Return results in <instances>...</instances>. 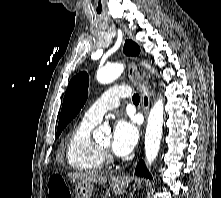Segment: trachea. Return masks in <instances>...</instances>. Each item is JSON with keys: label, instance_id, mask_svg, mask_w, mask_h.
<instances>
[{"label": "trachea", "instance_id": "trachea-1", "mask_svg": "<svg viewBox=\"0 0 221 198\" xmlns=\"http://www.w3.org/2000/svg\"><path fill=\"white\" fill-rule=\"evenodd\" d=\"M132 100L135 104L139 103L140 102V97L138 94H134L133 97H132Z\"/></svg>", "mask_w": 221, "mask_h": 198}]
</instances>
